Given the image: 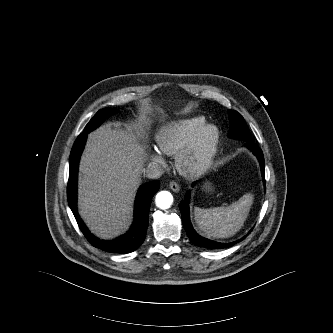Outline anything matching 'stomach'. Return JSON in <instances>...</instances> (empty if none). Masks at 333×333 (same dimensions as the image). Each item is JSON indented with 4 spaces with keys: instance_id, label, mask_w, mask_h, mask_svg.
Segmentation results:
<instances>
[{
    "instance_id": "stomach-1",
    "label": "stomach",
    "mask_w": 333,
    "mask_h": 333,
    "mask_svg": "<svg viewBox=\"0 0 333 333\" xmlns=\"http://www.w3.org/2000/svg\"><path fill=\"white\" fill-rule=\"evenodd\" d=\"M204 190L205 191H211L212 190V187H211V185L209 184V183H207V184H205V186H204Z\"/></svg>"
}]
</instances>
